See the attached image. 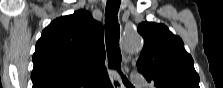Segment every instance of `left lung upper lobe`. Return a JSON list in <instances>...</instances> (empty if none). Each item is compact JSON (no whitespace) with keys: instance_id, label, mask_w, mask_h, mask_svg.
I'll return each mask as SVG.
<instances>
[{"instance_id":"left-lung-upper-lobe-1","label":"left lung upper lobe","mask_w":223,"mask_h":88,"mask_svg":"<svg viewBox=\"0 0 223 88\" xmlns=\"http://www.w3.org/2000/svg\"><path fill=\"white\" fill-rule=\"evenodd\" d=\"M144 47L137 68L156 88H200L194 61L184 48L182 39L167 26L154 22L138 25Z\"/></svg>"}]
</instances>
